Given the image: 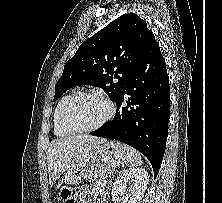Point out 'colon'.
Masks as SVG:
<instances>
[{"mask_svg": "<svg viewBox=\"0 0 222 203\" xmlns=\"http://www.w3.org/2000/svg\"><path fill=\"white\" fill-rule=\"evenodd\" d=\"M74 194L72 190L66 188L62 192V198L65 200V203H75L74 202Z\"/></svg>", "mask_w": 222, "mask_h": 203, "instance_id": "colon-1", "label": "colon"}]
</instances>
